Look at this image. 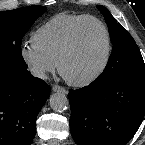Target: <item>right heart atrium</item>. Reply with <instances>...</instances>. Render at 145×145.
Returning a JSON list of instances; mask_svg holds the SVG:
<instances>
[{"label": "right heart atrium", "instance_id": "obj_1", "mask_svg": "<svg viewBox=\"0 0 145 145\" xmlns=\"http://www.w3.org/2000/svg\"><path fill=\"white\" fill-rule=\"evenodd\" d=\"M20 57L30 74L38 79H45L56 68V63L33 43L21 47Z\"/></svg>", "mask_w": 145, "mask_h": 145}]
</instances>
